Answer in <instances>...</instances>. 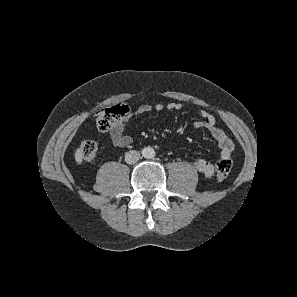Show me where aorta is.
<instances>
[{"label":"aorta","instance_id":"aorta-1","mask_svg":"<svg viewBox=\"0 0 297 297\" xmlns=\"http://www.w3.org/2000/svg\"><path fill=\"white\" fill-rule=\"evenodd\" d=\"M142 154L145 158L151 159L155 156V150L152 147H146L142 150Z\"/></svg>","mask_w":297,"mask_h":297}]
</instances>
